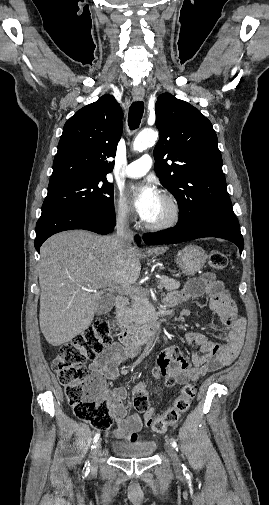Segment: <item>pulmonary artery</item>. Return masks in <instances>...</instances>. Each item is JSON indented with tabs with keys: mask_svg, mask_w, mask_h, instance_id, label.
Returning a JSON list of instances; mask_svg holds the SVG:
<instances>
[{
	"mask_svg": "<svg viewBox=\"0 0 269 505\" xmlns=\"http://www.w3.org/2000/svg\"><path fill=\"white\" fill-rule=\"evenodd\" d=\"M153 160L150 155H143L139 159L127 165L124 175L129 178H136L145 175L152 167Z\"/></svg>",
	"mask_w": 269,
	"mask_h": 505,
	"instance_id": "pulmonary-artery-1",
	"label": "pulmonary artery"
}]
</instances>
